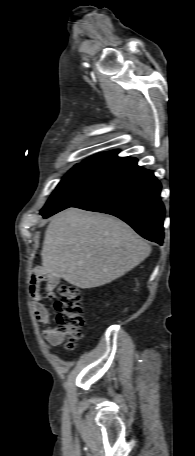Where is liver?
Returning <instances> with one entry per match:
<instances>
[{
    "instance_id": "obj_1",
    "label": "liver",
    "mask_w": 195,
    "mask_h": 456,
    "mask_svg": "<svg viewBox=\"0 0 195 456\" xmlns=\"http://www.w3.org/2000/svg\"><path fill=\"white\" fill-rule=\"evenodd\" d=\"M150 252L149 244L120 219L69 208L46 229L40 272L89 289L125 275Z\"/></svg>"
}]
</instances>
